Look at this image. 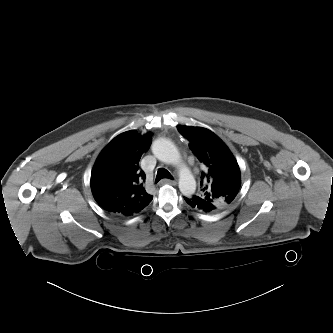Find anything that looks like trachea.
Instances as JSON below:
<instances>
[{"mask_svg":"<svg viewBox=\"0 0 333 333\" xmlns=\"http://www.w3.org/2000/svg\"><path fill=\"white\" fill-rule=\"evenodd\" d=\"M163 178H168V179L173 180L172 175L170 174V172L167 169L160 168V169H158V172H157V176H156V180H155L156 183Z\"/></svg>","mask_w":333,"mask_h":333,"instance_id":"obj_1","label":"trachea"}]
</instances>
